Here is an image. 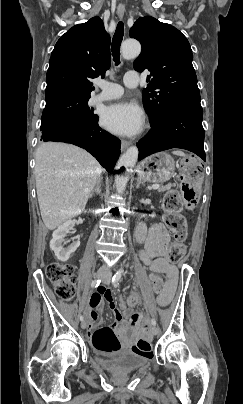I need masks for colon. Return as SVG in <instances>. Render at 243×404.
I'll use <instances>...</instances> for the list:
<instances>
[{
  "instance_id": "1",
  "label": "colon",
  "mask_w": 243,
  "mask_h": 404,
  "mask_svg": "<svg viewBox=\"0 0 243 404\" xmlns=\"http://www.w3.org/2000/svg\"><path fill=\"white\" fill-rule=\"evenodd\" d=\"M180 189H172L163 199L164 221L174 234L175 240L168 246L167 259L171 263L178 262L185 254L184 241L187 235V226L181 210L185 206L192 209L199 201L202 184V169L193 158H185L180 166ZM46 276L53 283L55 292L62 300H70L74 295L75 275L74 267L69 263L52 262L46 268ZM150 288L154 293H160L163 288L162 279L157 275L149 278ZM140 292L134 291L126 299L120 301V307L130 315L138 304ZM92 345L103 352H114L120 348V342L111 327L105 326L92 334ZM136 349L149 354L152 343L147 338L137 341Z\"/></svg>"
}]
</instances>
